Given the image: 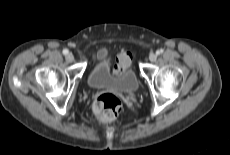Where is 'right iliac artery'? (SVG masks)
<instances>
[{
    "label": "right iliac artery",
    "mask_w": 230,
    "mask_h": 155,
    "mask_svg": "<svg viewBox=\"0 0 230 155\" xmlns=\"http://www.w3.org/2000/svg\"><path fill=\"white\" fill-rule=\"evenodd\" d=\"M68 53H69L68 49H64V50H63V54H64V55H67Z\"/></svg>",
    "instance_id": "right-iliac-artery-1"
}]
</instances>
